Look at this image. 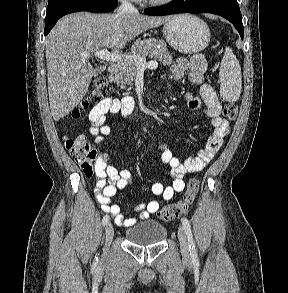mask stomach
<instances>
[{"instance_id":"1","label":"stomach","mask_w":288,"mask_h":293,"mask_svg":"<svg viewBox=\"0 0 288 293\" xmlns=\"http://www.w3.org/2000/svg\"><path fill=\"white\" fill-rule=\"evenodd\" d=\"M169 45L185 54L204 50L210 41V29L200 18L190 14L171 16L163 25Z\"/></svg>"}]
</instances>
